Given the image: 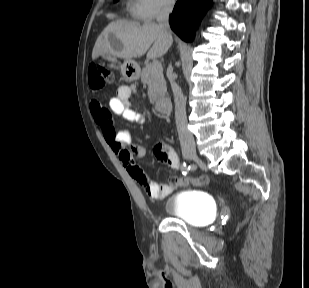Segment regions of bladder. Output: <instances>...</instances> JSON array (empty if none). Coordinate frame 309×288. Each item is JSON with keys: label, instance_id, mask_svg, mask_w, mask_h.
Wrapping results in <instances>:
<instances>
[{"label": "bladder", "instance_id": "1", "mask_svg": "<svg viewBox=\"0 0 309 288\" xmlns=\"http://www.w3.org/2000/svg\"><path fill=\"white\" fill-rule=\"evenodd\" d=\"M164 211L167 216L179 218L195 227L208 225L214 217L212 198L197 189H184L168 195Z\"/></svg>", "mask_w": 309, "mask_h": 288}]
</instances>
